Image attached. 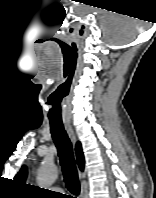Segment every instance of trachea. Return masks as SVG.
<instances>
[{"label": "trachea", "instance_id": "3493384b", "mask_svg": "<svg viewBox=\"0 0 156 198\" xmlns=\"http://www.w3.org/2000/svg\"><path fill=\"white\" fill-rule=\"evenodd\" d=\"M51 134L58 150L67 189L74 195L80 193V183L73 155V149L62 122L50 121ZM67 198H73L68 196ZM75 198V197H74Z\"/></svg>", "mask_w": 156, "mask_h": 198}]
</instances>
